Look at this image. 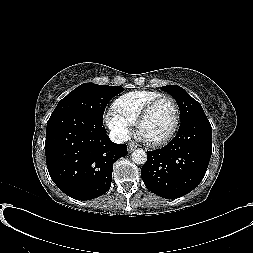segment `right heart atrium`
<instances>
[{"label":"right heart atrium","instance_id":"right-heart-atrium-1","mask_svg":"<svg viewBox=\"0 0 253 253\" xmlns=\"http://www.w3.org/2000/svg\"><path fill=\"white\" fill-rule=\"evenodd\" d=\"M104 120L117 140L126 141L131 136V125L114 108L105 113Z\"/></svg>","mask_w":253,"mask_h":253}]
</instances>
